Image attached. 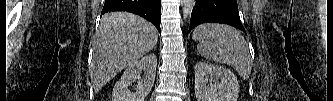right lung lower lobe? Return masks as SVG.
Masks as SVG:
<instances>
[{
	"label": "right lung lower lobe",
	"mask_w": 333,
	"mask_h": 101,
	"mask_svg": "<svg viewBox=\"0 0 333 101\" xmlns=\"http://www.w3.org/2000/svg\"><path fill=\"white\" fill-rule=\"evenodd\" d=\"M161 0H105L102 14L113 11H126L140 15L160 30Z\"/></svg>",
	"instance_id": "obj_1"
}]
</instances>
